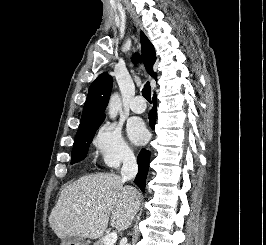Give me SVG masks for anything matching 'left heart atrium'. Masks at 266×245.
Returning <instances> with one entry per match:
<instances>
[{
  "label": "left heart atrium",
  "instance_id": "1",
  "mask_svg": "<svg viewBox=\"0 0 266 245\" xmlns=\"http://www.w3.org/2000/svg\"><path fill=\"white\" fill-rule=\"evenodd\" d=\"M129 139L135 144H141L147 137V130L140 119H132L127 124Z\"/></svg>",
  "mask_w": 266,
  "mask_h": 245
}]
</instances>
